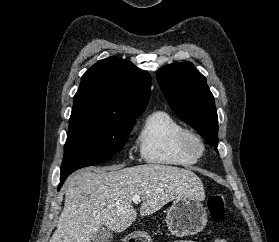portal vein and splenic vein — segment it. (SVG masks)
Here are the masks:
<instances>
[{
	"label": "portal vein and splenic vein",
	"instance_id": "obj_1",
	"mask_svg": "<svg viewBox=\"0 0 279 242\" xmlns=\"http://www.w3.org/2000/svg\"><path fill=\"white\" fill-rule=\"evenodd\" d=\"M132 201L135 203V204H138L140 201H141V197L140 196H134L133 198H132Z\"/></svg>",
	"mask_w": 279,
	"mask_h": 242
}]
</instances>
